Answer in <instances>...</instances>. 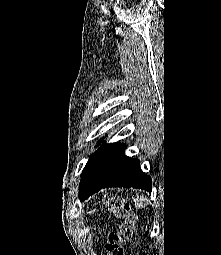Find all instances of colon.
Listing matches in <instances>:
<instances>
[{"label": "colon", "mask_w": 221, "mask_h": 255, "mask_svg": "<svg viewBox=\"0 0 221 255\" xmlns=\"http://www.w3.org/2000/svg\"><path fill=\"white\" fill-rule=\"evenodd\" d=\"M104 203L109 211L120 220L116 229L108 234L106 243L108 255H126L124 245L132 238L135 215L130 205L121 199L108 196L104 198Z\"/></svg>", "instance_id": "obj_1"}]
</instances>
